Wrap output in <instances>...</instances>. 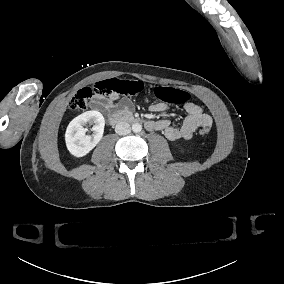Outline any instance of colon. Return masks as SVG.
<instances>
[{
  "label": "colon",
  "mask_w": 284,
  "mask_h": 284,
  "mask_svg": "<svg viewBox=\"0 0 284 284\" xmlns=\"http://www.w3.org/2000/svg\"><path fill=\"white\" fill-rule=\"evenodd\" d=\"M145 88L143 80H120L111 79L94 82L83 86L72 97L70 106L71 109H81L87 106L98 95L105 94H119L125 96H134ZM158 98L165 103L171 105H185L189 101V94L185 90H177L172 88H165L158 90ZM199 133L207 136L211 133V125L207 124Z\"/></svg>",
  "instance_id": "colon-1"
}]
</instances>
